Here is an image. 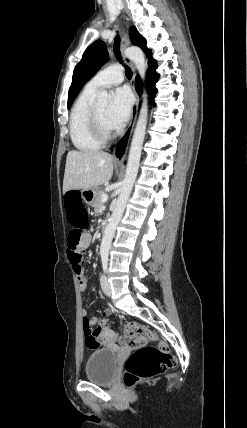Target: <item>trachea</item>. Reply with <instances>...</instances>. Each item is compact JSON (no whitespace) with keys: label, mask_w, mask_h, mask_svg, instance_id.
<instances>
[{"label":"trachea","mask_w":247,"mask_h":428,"mask_svg":"<svg viewBox=\"0 0 247 428\" xmlns=\"http://www.w3.org/2000/svg\"><path fill=\"white\" fill-rule=\"evenodd\" d=\"M113 50H114L116 57L119 60H122L121 53H120V37H119V35H117L115 38ZM125 73H126L127 78L130 79L132 77V71L128 66H126V72Z\"/></svg>","instance_id":"trachea-1"}]
</instances>
